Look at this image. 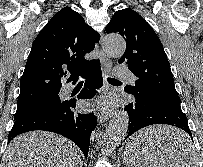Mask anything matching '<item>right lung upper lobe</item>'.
Here are the masks:
<instances>
[{"label":"right lung upper lobe","mask_w":203,"mask_h":167,"mask_svg":"<svg viewBox=\"0 0 203 167\" xmlns=\"http://www.w3.org/2000/svg\"><path fill=\"white\" fill-rule=\"evenodd\" d=\"M100 35L85 23L70 7L56 13L32 44L20 81L17 106L29 104L53 94H59L61 78L70 76L74 82L99 60H86V53L95 48Z\"/></svg>","instance_id":"1"}]
</instances>
